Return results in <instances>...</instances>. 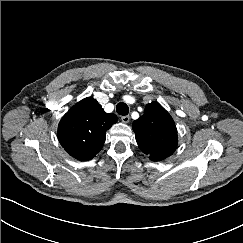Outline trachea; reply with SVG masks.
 <instances>
[{"mask_svg": "<svg viewBox=\"0 0 243 243\" xmlns=\"http://www.w3.org/2000/svg\"><path fill=\"white\" fill-rule=\"evenodd\" d=\"M116 111L119 115L125 116L129 113V108L127 104L120 102L116 106Z\"/></svg>", "mask_w": 243, "mask_h": 243, "instance_id": "obj_1", "label": "trachea"}]
</instances>
